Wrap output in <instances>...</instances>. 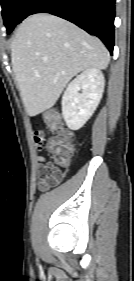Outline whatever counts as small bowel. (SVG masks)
Segmentation results:
<instances>
[{
    "label": "small bowel",
    "instance_id": "small-bowel-1",
    "mask_svg": "<svg viewBox=\"0 0 134 281\" xmlns=\"http://www.w3.org/2000/svg\"><path fill=\"white\" fill-rule=\"evenodd\" d=\"M45 135L42 131L36 132L35 144L37 151H41ZM38 172H39V189L46 191L57 186L62 182L66 175V171L62 170L58 164L53 161L46 160L43 156H37Z\"/></svg>",
    "mask_w": 134,
    "mask_h": 281
}]
</instances>
